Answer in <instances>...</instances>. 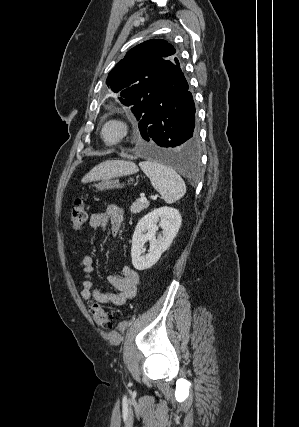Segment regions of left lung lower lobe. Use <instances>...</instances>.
<instances>
[{"label": "left lung lower lobe", "mask_w": 299, "mask_h": 427, "mask_svg": "<svg viewBox=\"0 0 299 427\" xmlns=\"http://www.w3.org/2000/svg\"><path fill=\"white\" fill-rule=\"evenodd\" d=\"M179 66V62L176 59ZM181 71L176 83L160 100L143 110L139 119L141 136L148 144L142 151L151 158L190 169L199 140L195 128V104Z\"/></svg>", "instance_id": "left-lung-lower-lobe-1"}]
</instances>
